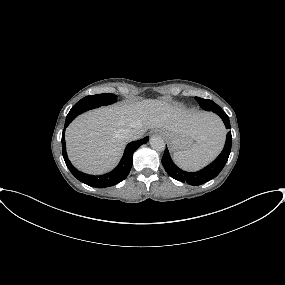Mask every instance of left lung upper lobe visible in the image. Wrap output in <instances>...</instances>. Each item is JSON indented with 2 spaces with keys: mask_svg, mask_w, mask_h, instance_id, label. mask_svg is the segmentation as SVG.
<instances>
[{
  "mask_svg": "<svg viewBox=\"0 0 285 285\" xmlns=\"http://www.w3.org/2000/svg\"><path fill=\"white\" fill-rule=\"evenodd\" d=\"M196 101L199 103L200 107L207 111H215L216 109H220V107L209 99H202L200 97H195Z\"/></svg>",
  "mask_w": 285,
  "mask_h": 285,
  "instance_id": "obj_1",
  "label": "left lung upper lobe"
}]
</instances>
